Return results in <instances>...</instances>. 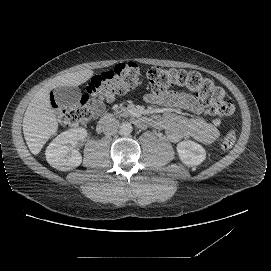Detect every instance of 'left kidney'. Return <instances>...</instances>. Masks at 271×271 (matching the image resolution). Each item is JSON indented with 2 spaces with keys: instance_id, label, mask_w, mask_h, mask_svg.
<instances>
[{
  "instance_id": "5707ae66",
  "label": "left kidney",
  "mask_w": 271,
  "mask_h": 271,
  "mask_svg": "<svg viewBox=\"0 0 271 271\" xmlns=\"http://www.w3.org/2000/svg\"><path fill=\"white\" fill-rule=\"evenodd\" d=\"M177 150L181 160L188 165H198L206 156L202 146L193 141H182L177 146Z\"/></svg>"
}]
</instances>
